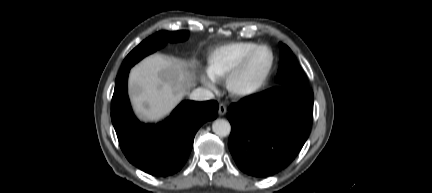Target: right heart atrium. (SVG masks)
Wrapping results in <instances>:
<instances>
[{"label": "right heart atrium", "instance_id": "1", "mask_svg": "<svg viewBox=\"0 0 432 193\" xmlns=\"http://www.w3.org/2000/svg\"><path fill=\"white\" fill-rule=\"evenodd\" d=\"M201 80L203 83L207 84V85H211L212 84V79L208 76L203 75L201 77Z\"/></svg>", "mask_w": 432, "mask_h": 193}]
</instances>
